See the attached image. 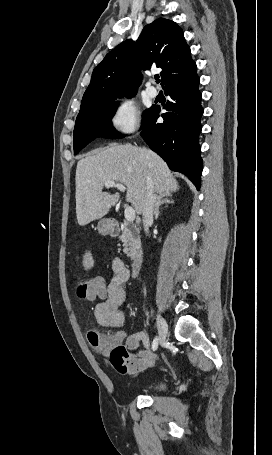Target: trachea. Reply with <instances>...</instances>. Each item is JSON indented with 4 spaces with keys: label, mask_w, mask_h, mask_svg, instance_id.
Segmentation results:
<instances>
[{
    "label": "trachea",
    "mask_w": 272,
    "mask_h": 455,
    "mask_svg": "<svg viewBox=\"0 0 272 455\" xmlns=\"http://www.w3.org/2000/svg\"><path fill=\"white\" fill-rule=\"evenodd\" d=\"M155 79H156V83L160 82L159 76H155Z\"/></svg>",
    "instance_id": "obj_1"
}]
</instances>
